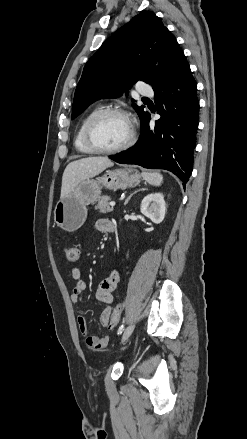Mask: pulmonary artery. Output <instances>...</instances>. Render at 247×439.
<instances>
[{
  "label": "pulmonary artery",
  "mask_w": 247,
  "mask_h": 439,
  "mask_svg": "<svg viewBox=\"0 0 247 439\" xmlns=\"http://www.w3.org/2000/svg\"><path fill=\"white\" fill-rule=\"evenodd\" d=\"M136 89L142 95H152L153 93L151 87L144 82L137 83Z\"/></svg>",
  "instance_id": "1"
}]
</instances>
